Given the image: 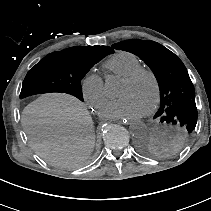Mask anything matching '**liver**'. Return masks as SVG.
<instances>
[{"label":"liver","mask_w":211,"mask_h":211,"mask_svg":"<svg viewBox=\"0 0 211 211\" xmlns=\"http://www.w3.org/2000/svg\"><path fill=\"white\" fill-rule=\"evenodd\" d=\"M21 123L32 148L45 161L73 168L92 151L95 135L89 112L66 94H47L30 103Z\"/></svg>","instance_id":"obj_1"}]
</instances>
